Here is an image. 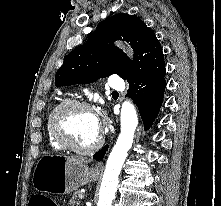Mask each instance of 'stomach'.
Masks as SVG:
<instances>
[{
  "label": "stomach",
  "instance_id": "0dacf381",
  "mask_svg": "<svg viewBox=\"0 0 221 206\" xmlns=\"http://www.w3.org/2000/svg\"><path fill=\"white\" fill-rule=\"evenodd\" d=\"M99 172L64 155H45L36 164L32 184L39 192L68 194L94 181Z\"/></svg>",
  "mask_w": 221,
  "mask_h": 206
}]
</instances>
